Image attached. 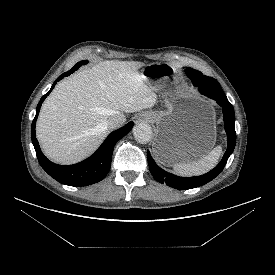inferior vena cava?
Instances as JSON below:
<instances>
[{"label":"inferior vena cava","instance_id":"602c4592","mask_svg":"<svg viewBox=\"0 0 275 275\" xmlns=\"http://www.w3.org/2000/svg\"><path fill=\"white\" fill-rule=\"evenodd\" d=\"M125 121H126V118L123 114L116 113L108 118L107 126L110 129H114L121 126Z\"/></svg>","mask_w":275,"mask_h":275}]
</instances>
